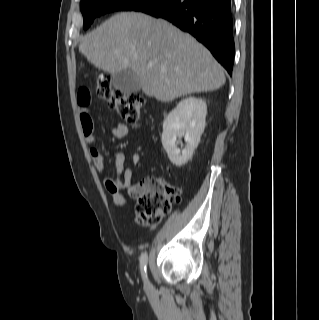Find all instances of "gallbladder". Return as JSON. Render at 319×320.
Masks as SVG:
<instances>
[{"instance_id": "obj_1", "label": "gallbladder", "mask_w": 319, "mask_h": 320, "mask_svg": "<svg viewBox=\"0 0 319 320\" xmlns=\"http://www.w3.org/2000/svg\"><path fill=\"white\" fill-rule=\"evenodd\" d=\"M111 83L116 90L126 95L138 92L141 89L137 76L129 69L112 74Z\"/></svg>"}]
</instances>
